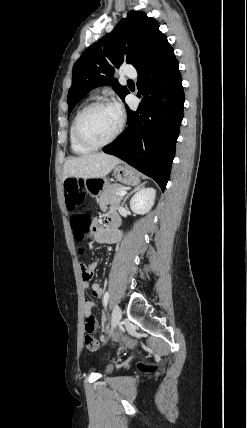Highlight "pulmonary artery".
Returning a JSON list of instances; mask_svg holds the SVG:
<instances>
[{
	"label": "pulmonary artery",
	"instance_id": "e3ab8cb5",
	"mask_svg": "<svg viewBox=\"0 0 247 428\" xmlns=\"http://www.w3.org/2000/svg\"><path fill=\"white\" fill-rule=\"evenodd\" d=\"M123 74L131 78H135L137 76L136 70L132 66H124Z\"/></svg>",
	"mask_w": 247,
	"mask_h": 428
}]
</instances>
